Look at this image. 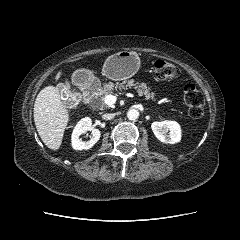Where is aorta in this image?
I'll return each instance as SVG.
<instances>
[{"label": "aorta", "mask_w": 240, "mask_h": 240, "mask_svg": "<svg viewBox=\"0 0 240 240\" xmlns=\"http://www.w3.org/2000/svg\"><path fill=\"white\" fill-rule=\"evenodd\" d=\"M127 117L129 120H136L139 117V111L136 109H130L127 112Z\"/></svg>", "instance_id": "obj_1"}]
</instances>
